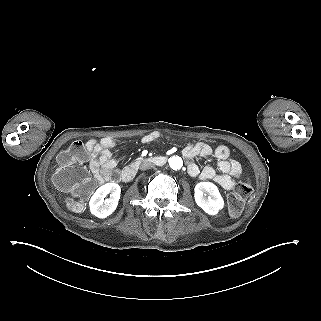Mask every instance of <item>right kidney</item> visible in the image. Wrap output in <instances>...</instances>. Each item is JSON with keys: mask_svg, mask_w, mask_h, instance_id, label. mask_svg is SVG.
I'll list each match as a JSON object with an SVG mask.
<instances>
[{"mask_svg": "<svg viewBox=\"0 0 321 321\" xmlns=\"http://www.w3.org/2000/svg\"><path fill=\"white\" fill-rule=\"evenodd\" d=\"M120 193L121 188L116 183H106L102 185L90 198V213L100 219L109 217L118 206ZM109 195L110 197L104 200ZM104 201L105 205H103Z\"/></svg>", "mask_w": 321, "mask_h": 321, "instance_id": "right-kidney-1", "label": "right kidney"}]
</instances>
